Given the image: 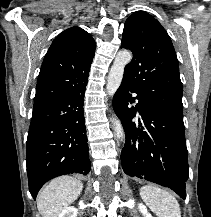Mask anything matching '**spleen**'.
I'll list each match as a JSON object with an SVG mask.
<instances>
[{"instance_id": "obj_1", "label": "spleen", "mask_w": 211, "mask_h": 217, "mask_svg": "<svg viewBox=\"0 0 211 217\" xmlns=\"http://www.w3.org/2000/svg\"><path fill=\"white\" fill-rule=\"evenodd\" d=\"M140 196L158 217H181L179 203L168 191L147 185L140 189Z\"/></svg>"}]
</instances>
